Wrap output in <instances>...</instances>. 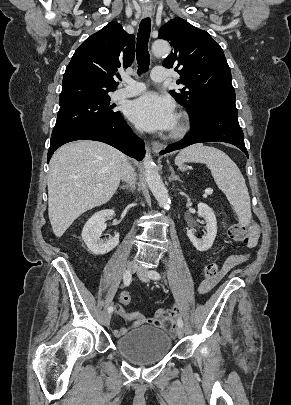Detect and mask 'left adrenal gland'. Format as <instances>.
I'll list each match as a JSON object with an SVG mask.
<instances>
[{
    "label": "left adrenal gland",
    "instance_id": "left-adrenal-gland-1",
    "mask_svg": "<svg viewBox=\"0 0 291 405\" xmlns=\"http://www.w3.org/2000/svg\"><path fill=\"white\" fill-rule=\"evenodd\" d=\"M169 170L171 171V176L169 177V181L178 180L181 181L179 176L175 175L174 169L170 166Z\"/></svg>",
    "mask_w": 291,
    "mask_h": 405
}]
</instances>
